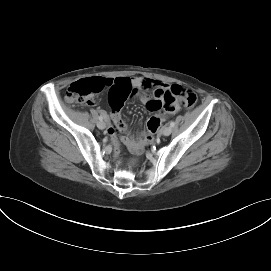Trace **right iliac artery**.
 <instances>
[{"mask_svg":"<svg viewBox=\"0 0 271 271\" xmlns=\"http://www.w3.org/2000/svg\"><path fill=\"white\" fill-rule=\"evenodd\" d=\"M99 120L102 121V120H103V117H102V116H99Z\"/></svg>","mask_w":271,"mask_h":271,"instance_id":"82829eb1","label":"right iliac artery"}]
</instances>
